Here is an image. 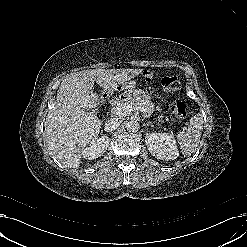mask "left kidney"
Segmentation results:
<instances>
[{"instance_id": "5707ae66", "label": "left kidney", "mask_w": 247, "mask_h": 247, "mask_svg": "<svg viewBox=\"0 0 247 247\" xmlns=\"http://www.w3.org/2000/svg\"><path fill=\"white\" fill-rule=\"evenodd\" d=\"M145 143L149 152L160 160H174L179 156L176 140L169 133H147Z\"/></svg>"}]
</instances>
